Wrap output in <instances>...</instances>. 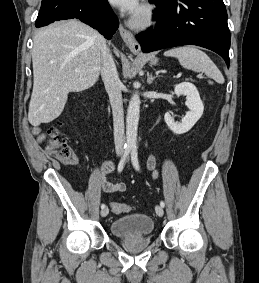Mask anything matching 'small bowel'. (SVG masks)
I'll return each instance as SVG.
<instances>
[{"instance_id":"small-bowel-1","label":"small bowel","mask_w":259,"mask_h":283,"mask_svg":"<svg viewBox=\"0 0 259 283\" xmlns=\"http://www.w3.org/2000/svg\"><path fill=\"white\" fill-rule=\"evenodd\" d=\"M34 134L37 136L38 141H43L47 137V132H42L39 128H34ZM148 167L155 173V158L150 157L148 159ZM114 169V162L111 160H105L100 166L98 180L99 187L105 193H120L126 190L124 182H110L107 180V175Z\"/></svg>"}]
</instances>
